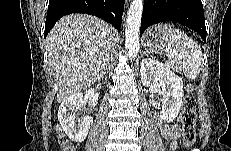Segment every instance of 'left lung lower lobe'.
I'll return each mask as SVG.
<instances>
[{
	"instance_id": "0a47b994",
	"label": "left lung lower lobe",
	"mask_w": 231,
	"mask_h": 151,
	"mask_svg": "<svg viewBox=\"0 0 231 151\" xmlns=\"http://www.w3.org/2000/svg\"><path fill=\"white\" fill-rule=\"evenodd\" d=\"M159 22H176L197 32L206 41V26L201 0H145L140 35Z\"/></svg>"
}]
</instances>
